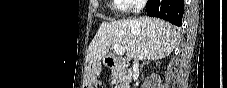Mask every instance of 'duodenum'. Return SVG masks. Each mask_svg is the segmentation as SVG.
<instances>
[{
    "mask_svg": "<svg viewBox=\"0 0 227 88\" xmlns=\"http://www.w3.org/2000/svg\"><path fill=\"white\" fill-rule=\"evenodd\" d=\"M104 65L108 68H113L120 65V61L117 58H108L105 60Z\"/></svg>",
    "mask_w": 227,
    "mask_h": 88,
    "instance_id": "obj_1",
    "label": "duodenum"
}]
</instances>
